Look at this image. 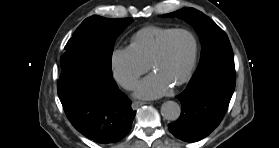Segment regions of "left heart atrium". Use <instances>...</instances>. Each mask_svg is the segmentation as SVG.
Wrapping results in <instances>:
<instances>
[{
    "label": "left heart atrium",
    "instance_id": "1",
    "mask_svg": "<svg viewBox=\"0 0 279 148\" xmlns=\"http://www.w3.org/2000/svg\"><path fill=\"white\" fill-rule=\"evenodd\" d=\"M171 88L172 84L169 81L152 73L136 86L135 94L144 99H153L167 95Z\"/></svg>",
    "mask_w": 279,
    "mask_h": 148
}]
</instances>
